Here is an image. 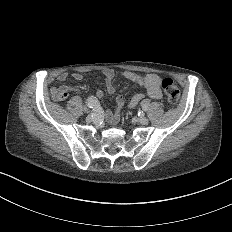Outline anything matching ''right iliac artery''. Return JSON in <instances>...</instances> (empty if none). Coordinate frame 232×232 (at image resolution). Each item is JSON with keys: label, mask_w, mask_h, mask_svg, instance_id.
<instances>
[{"label": "right iliac artery", "mask_w": 232, "mask_h": 232, "mask_svg": "<svg viewBox=\"0 0 232 232\" xmlns=\"http://www.w3.org/2000/svg\"><path fill=\"white\" fill-rule=\"evenodd\" d=\"M99 104V100L97 97L95 96H90L87 98L86 100V105L89 107V108H94L96 107L97 105Z\"/></svg>", "instance_id": "1"}]
</instances>
